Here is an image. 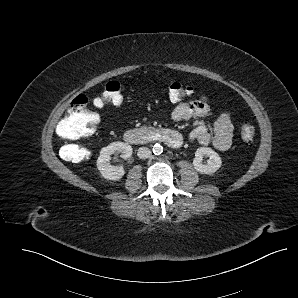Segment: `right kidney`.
I'll use <instances>...</instances> for the list:
<instances>
[{
	"label": "right kidney",
	"instance_id": "obj_1",
	"mask_svg": "<svg viewBox=\"0 0 298 298\" xmlns=\"http://www.w3.org/2000/svg\"><path fill=\"white\" fill-rule=\"evenodd\" d=\"M120 153L121 158L128 159L132 156L133 149L128 143L112 142L108 146L103 147L97 159V168L101 175L108 180H119L124 174L123 166H115L110 163L111 155Z\"/></svg>",
	"mask_w": 298,
	"mask_h": 298
}]
</instances>
